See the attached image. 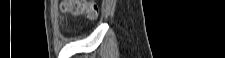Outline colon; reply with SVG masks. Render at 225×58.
Here are the masks:
<instances>
[{"label": "colon", "mask_w": 225, "mask_h": 58, "mask_svg": "<svg viewBox=\"0 0 225 58\" xmlns=\"http://www.w3.org/2000/svg\"><path fill=\"white\" fill-rule=\"evenodd\" d=\"M63 9L72 15H81L86 13L90 18H95L99 12V8L95 0H71L67 2Z\"/></svg>", "instance_id": "1"}]
</instances>
